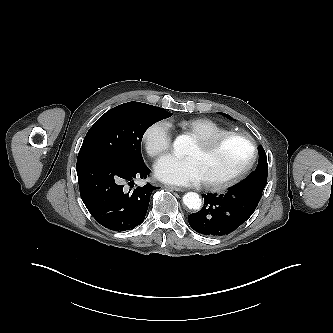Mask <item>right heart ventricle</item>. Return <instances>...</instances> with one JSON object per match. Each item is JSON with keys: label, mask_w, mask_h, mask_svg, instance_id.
Segmentation results:
<instances>
[{"label": "right heart ventricle", "mask_w": 333, "mask_h": 333, "mask_svg": "<svg viewBox=\"0 0 333 333\" xmlns=\"http://www.w3.org/2000/svg\"><path fill=\"white\" fill-rule=\"evenodd\" d=\"M178 126L195 139L211 138L229 132L227 128L208 118L181 120Z\"/></svg>", "instance_id": "right-heart-ventricle-1"}]
</instances>
